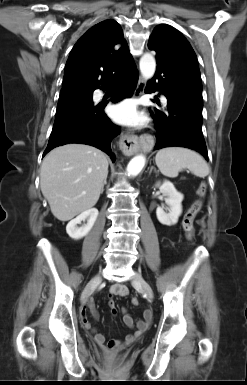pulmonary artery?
<instances>
[{
	"label": "pulmonary artery",
	"instance_id": "1",
	"mask_svg": "<svg viewBox=\"0 0 247 385\" xmlns=\"http://www.w3.org/2000/svg\"><path fill=\"white\" fill-rule=\"evenodd\" d=\"M162 99H163V100H165V97H164V96H162Z\"/></svg>",
	"mask_w": 247,
	"mask_h": 385
}]
</instances>
